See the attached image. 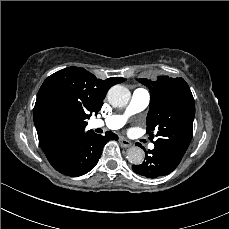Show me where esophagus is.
<instances>
[{
    "label": "esophagus",
    "instance_id": "1",
    "mask_svg": "<svg viewBox=\"0 0 229 229\" xmlns=\"http://www.w3.org/2000/svg\"><path fill=\"white\" fill-rule=\"evenodd\" d=\"M119 143L121 144V146H123L125 148H129V147L132 146V143L129 140L123 138V137H120Z\"/></svg>",
    "mask_w": 229,
    "mask_h": 229
}]
</instances>
